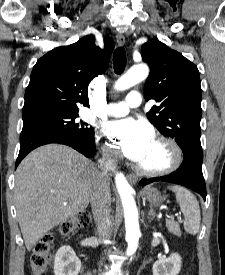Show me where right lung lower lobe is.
<instances>
[{"label":"right lung lower lobe","instance_id":"1","mask_svg":"<svg viewBox=\"0 0 225 275\" xmlns=\"http://www.w3.org/2000/svg\"><path fill=\"white\" fill-rule=\"evenodd\" d=\"M49 143L68 145L88 158H91L96 152L94 138H78L68 133L49 128H28L23 129L20 135V151L16 161V167L30 151Z\"/></svg>","mask_w":225,"mask_h":275}]
</instances>
